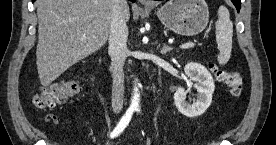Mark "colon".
Instances as JSON below:
<instances>
[{
	"instance_id": "obj_1",
	"label": "colon",
	"mask_w": 276,
	"mask_h": 145,
	"mask_svg": "<svg viewBox=\"0 0 276 145\" xmlns=\"http://www.w3.org/2000/svg\"><path fill=\"white\" fill-rule=\"evenodd\" d=\"M209 69L216 79L225 84L231 95L238 97L242 93L243 81L237 71L223 70L215 63H209ZM79 91L78 83L66 80L46 88H42L34 97V104L38 109H51L65 104Z\"/></svg>"
}]
</instances>
